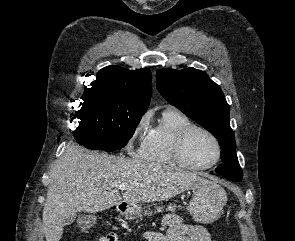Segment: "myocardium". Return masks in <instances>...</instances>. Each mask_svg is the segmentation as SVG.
<instances>
[{
    "instance_id": "f54148a6",
    "label": "myocardium",
    "mask_w": 295,
    "mask_h": 241,
    "mask_svg": "<svg viewBox=\"0 0 295 241\" xmlns=\"http://www.w3.org/2000/svg\"><path fill=\"white\" fill-rule=\"evenodd\" d=\"M202 131L205 134H207L215 143L216 149H217V154L216 158L214 159L213 162H211L208 165L204 166H198V165H193L190 164L189 162L186 161V159L183 156V146L185 141L187 140L188 136L193 132V131ZM171 155L172 158L174 159L175 163H177L179 166L191 170V171H204L213 168L215 165H217L222 157V146L220 143V140L218 137L208 128L201 126V125H196V124H190L186 127H184L174 138L172 144H171Z\"/></svg>"
}]
</instances>
